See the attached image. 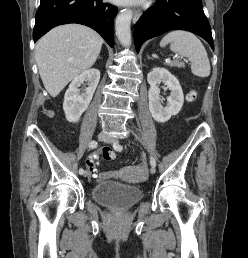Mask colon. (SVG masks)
<instances>
[{
    "mask_svg": "<svg viewBox=\"0 0 248 258\" xmlns=\"http://www.w3.org/2000/svg\"><path fill=\"white\" fill-rule=\"evenodd\" d=\"M195 95V92H191L189 100H194ZM101 156L106 160L114 157V153L110 146L107 144H100L97 151H93L91 155H87V158H85L86 175H99V160H101Z\"/></svg>",
    "mask_w": 248,
    "mask_h": 258,
    "instance_id": "5ec220e1",
    "label": "colon"
}]
</instances>
